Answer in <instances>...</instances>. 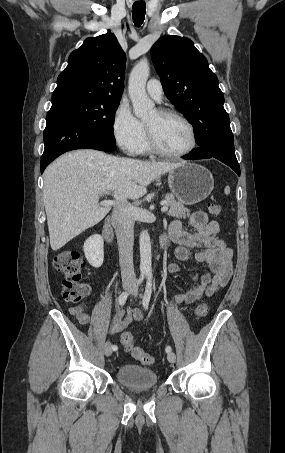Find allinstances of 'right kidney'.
<instances>
[{"mask_svg": "<svg viewBox=\"0 0 285 453\" xmlns=\"http://www.w3.org/2000/svg\"><path fill=\"white\" fill-rule=\"evenodd\" d=\"M84 254L89 264L99 268L104 260V242L99 234L90 236L83 246Z\"/></svg>", "mask_w": 285, "mask_h": 453, "instance_id": "ca27d5eb", "label": "right kidney"}]
</instances>
